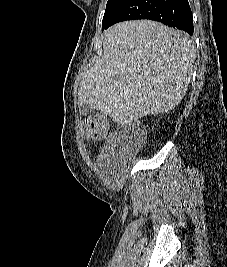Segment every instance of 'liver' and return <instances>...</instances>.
I'll list each match as a JSON object with an SVG mask.
<instances>
[{
	"label": "liver",
	"mask_w": 227,
	"mask_h": 267,
	"mask_svg": "<svg viewBox=\"0 0 227 267\" xmlns=\"http://www.w3.org/2000/svg\"><path fill=\"white\" fill-rule=\"evenodd\" d=\"M194 56L188 37L161 23H118L105 32L103 55L85 73L78 102L120 125L169 112L186 94Z\"/></svg>",
	"instance_id": "1"
}]
</instances>
